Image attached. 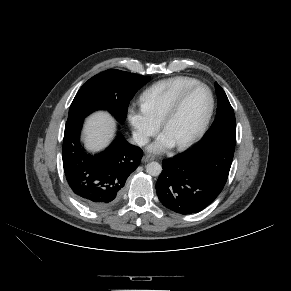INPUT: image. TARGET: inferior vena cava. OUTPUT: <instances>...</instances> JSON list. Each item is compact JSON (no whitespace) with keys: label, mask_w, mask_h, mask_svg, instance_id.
<instances>
[{"label":"inferior vena cava","mask_w":291,"mask_h":291,"mask_svg":"<svg viewBox=\"0 0 291 291\" xmlns=\"http://www.w3.org/2000/svg\"><path fill=\"white\" fill-rule=\"evenodd\" d=\"M130 142L141 147L149 142V138L142 133L134 132Z\"/></svg>","instance_id":"602c4592"}]
</instances>
